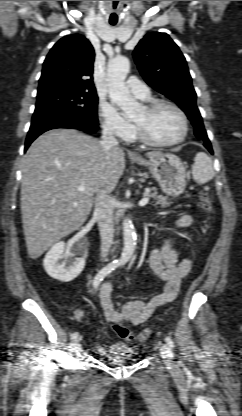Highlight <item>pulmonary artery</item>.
<instances>
[{"label":"pulmonary artery","instance_id":"pulmonary-artery-1","mask_svg":"<svg viewBox=\"0 0 242 416\" xmlns=\"http://www.w3.org/2000/svg\"><path fill=\"white\" fill-rule=\"evenodd\" d=\"M129 90L138 98L145 99L150 95L147 85L136 77H130L126 81Z\"/></svg>","mask_w":242,"mask_h":416}]
</instances>
